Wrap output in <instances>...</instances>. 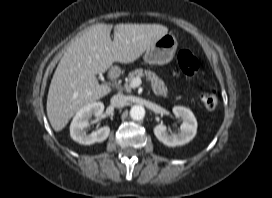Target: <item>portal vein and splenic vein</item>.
<instances>
[{
	"label": "portal vein and splenic vein",
	"mask_w": 272,
	"mask_h": 198,
	"mask_svg": "<svg viewBox=\"0 0 272 198\" xmlns=\"http://www.w3.org/2000/svg\"><path fill=\"white\" fill-rule=\"evenodd\" d=\"M141 84H142L141 78L135 77V78L131 81L130 86H131L132 88H137V87H139Z\"/></svg>",
	"instance_id": "18ae733b"
}]
</instances>
